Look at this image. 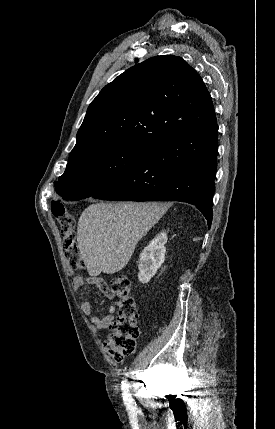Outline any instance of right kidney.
<instances>
[{"mask_svg":"<svg viewBox=\"0 0 275 429\" xmlns=\"http://www.w3.org/2000/svg\"><path fill=\"white\" fill-rule=\"evenodd\" d=\"M167 234H158L140 254L138 279L141 283H148L156 274L165 260Z\"/></svg>","mask_w":275,"mask_h":429,"instance_id":"1","label":"right kidney"}]
</instances>
